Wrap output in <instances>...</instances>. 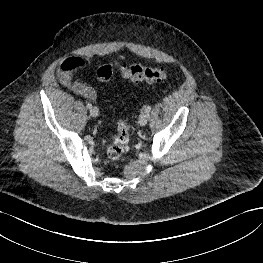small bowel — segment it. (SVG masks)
I'll return each mask as SVG.
<instances>
[{
  "label": "small bowel",
  "mask_w": 263,
  "mask_h": 263,
  "mask_svg": "<svg viewBox=\"0 0 263 263\" xmlns=\"http://www.w3.org/2000/svg\"><path fill=\"white\" fill-rule=\"evenodd\" d=\"M89 63L82 57H70L65 59L57 69V77L60 83L75 94L87 99L94 100L97 96L96 90L81 79H74L73 73L82 70Z\"/></svg>",
  "instance_id": "1"
}]
</instances>
